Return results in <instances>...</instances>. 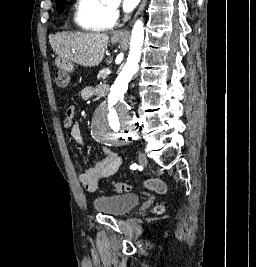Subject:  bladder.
Here are the masks:
<instances>
[{
  "label": "bladder",
  "instance_id": "31cf9c89",
  "mask_svg": "<svg viewBox=\"0 0 256 267\" xmlns=\"http://www.w3.org/2000/svg\"><path fill=\"white\" fill-rule=\"evenodd\" d=\"M140 202V195H104L96 199L95 209L104 211L107 215L122 216L130 212Z\"/></svg>",
  "mask_w": 256,
  "mask_h": 267
}]
</instances>
